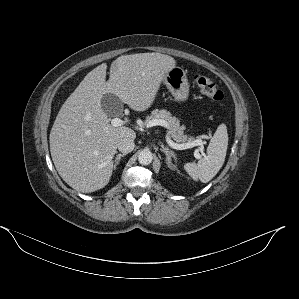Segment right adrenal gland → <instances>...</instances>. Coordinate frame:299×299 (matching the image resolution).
Segmentation results:
<instances>
[{"label":"right adrenal gland","mask_w":299,"mask_h":299,"mask_svg":"<svg viewBox=\"0 0 299 299\" xmlns=\"http://www.w3.org/2000/svg\"><path fill=\"white\" fill-rule=\"evenodd\" d=\"M126 155H127L126 153H123V154H118V155L116 156V159H115V161H114V166H113V169H114V170H115V169L117 168V166L119 165L121 158L124 157V156H126Z\"/></svg>","instance_id":"obj_1"}]
</instances>
